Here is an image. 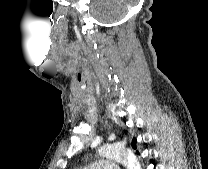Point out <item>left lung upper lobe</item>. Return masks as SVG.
I'll return each instance as SVG.
<instances>
[{
	"label": "left lung upper lobe",
	"mask_w": 208,
	"mask_h": 169,
	"mask_svg": "<svg viewBox=\"0 0 208 169\" xmlns=\"http://www.w3.org/2000/svg\"><path fill=\"white\" fill-rule=\"evenodd\" d=\"M136 142H137V140L134 138L133 141H132V147L134 149L136 148ZM136 153H138V151Z\"/></svg>",
	"instance_id": "left-lung-upper-lobe-1"
}]
</instances>
